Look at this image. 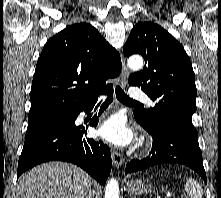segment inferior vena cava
Returning a JSON list of instances; mask_svg holds the SVG:
<instances>
[{
  "label": "inferior vena cava",
  "instance_id": "602c4592",
  "mask_svg": "<svg viewBox=\"0 0 221 198\" xmlns=\"http://www.w3.org/2000/svg\"><path fill=\"white\" fill-rule=\"evenodd\" d=\"M88 198H92V193L91 192L89 193Z\"/></svg>",
  "mask_w": 221,
  "mask_h": 198
}]
</instances>
